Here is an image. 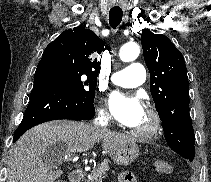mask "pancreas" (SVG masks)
<instances>
[{
  "label": "pancreas",
  "instance_id": "pancreas-1",
  "mask_svg": "<svg viewBox=\"0 0 211 182\" xmlns=\"http://www.w3.org/2000/svg\"><path fill=\"white\" fill-rule=\"evenodd\" d=\"M109 160L105 159L97 168L91 171L86 182H102L103 176L109 171Z\"/></svg>",
  "mask_w": 211,
  "mask_h": 182
}]
</instances>
